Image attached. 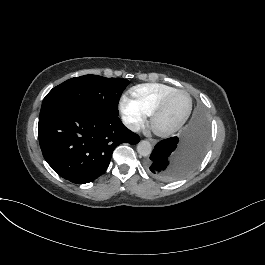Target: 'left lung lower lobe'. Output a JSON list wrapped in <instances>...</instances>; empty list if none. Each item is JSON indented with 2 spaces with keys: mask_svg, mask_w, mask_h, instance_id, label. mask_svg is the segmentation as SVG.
Segmentation results:
<instances>
[{
  "mask_svg": "<svg viewBox=\"0 0 265 265\" xmlns=\"http://www.w3.org/2000/svg\"><path fill=\"white\" fill-rule=\"evenodd\" d=\"M209 141V124L197 107L179 137L160 141L145 166L160 181L177 180L193 171L203 159Z\"/></svg>",
  "mask_w": 265,
  "mask_h": 265,
  "instance_id": "0a47b994",
  "label": "left lung lower lobe"
}]
</instances>
